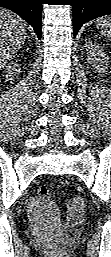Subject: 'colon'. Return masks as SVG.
Listing matches in <instances>:
<instances>
[{
    "mask_svg": "<svg viewBox=\"0 0 111 257\" xmlns=\"http://www.w3.org/2000/svg\"><path fill=\"white\" fill-rule=\"evenodd\" d=\"M50 195L51 191L48 187L42 186L39 188L37 192V200L42 208H51V204L49 202Z\"/></svg>",
    "mask_w": 111,
    "mask_h": 257,
    "instance_id": "obj_1",
    "label": "colon"
}]
</instances>
